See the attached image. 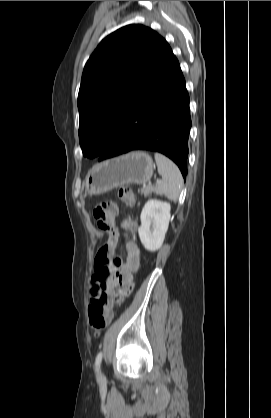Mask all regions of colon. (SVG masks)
<instances>
[{
  "mask_svg": "<svg viewBox=\"0 0 271 418\" xmlns=\"http://www.w3.org/2000/svg\"><path fill=\"white\" fill-rule=\"evenodd\" d=\"M118 198L121 202L132 205L134 195L129 188L122 187L118 191ZM118 212L117 202L106 200L98 203L93 209V216L100 230L107 232L113 239L115 237L114 217ZM126 229H131L129 221L124 223ZM108 245L103 246L97 253L94 261V279L99 284L92 293L91 304L89 307V323L96 334L105 329L112 320L107 293L102 283L113 274H117L121 266L120 257L110 258L108 255Z\"/></svg>",
  "mask_w": 271,
  "mask_h": 418,
  "instance_id": "1",
  "label": "colon"
}]
</instances>
